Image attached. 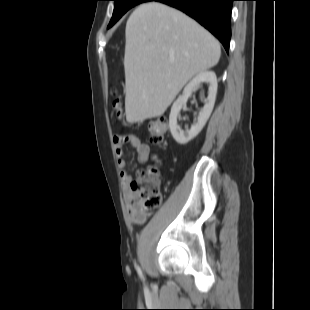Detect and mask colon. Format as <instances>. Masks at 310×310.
Returning <instances> with one entry per match:
<instances>
[{"label":"colon","instance_id":"colon-1","mask_svg":"<svg viewBox=\"0 0 310 310\" xmlns=\"http://www.w3.org/2000/svg\"><path fill=\"white\" fill-rule=\"evenodd\" d=\"M113 109L116 116L122 117L121 103L119 99L113 101ZM168 129L165 119H156L148 123L147 130L149 140L153 144L162 142ZM157 169H141L137 172L136 179L130 182V189L137 196V201L147 210L158 208L162 203V194L157 183Z\"/></svg>","mask_w":310,"mask_h":310}]
</instances>
